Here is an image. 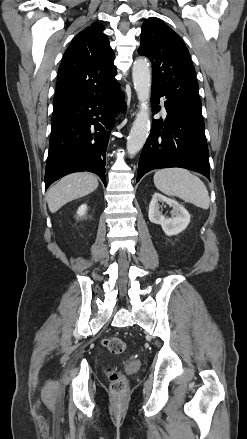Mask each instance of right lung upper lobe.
Wrapping results in <instances>:
<instances>
[{
    "label": "right lung upper lobe",
    "mask_w": 247,
    "mask_h": 439,
    "mask_svg": "<svg viewBox=\"0 0 247 439\" xmlns=\"http://www.w3.org/2000/svg\"><path fill=\"white\" fill-rule=\"evenodd\" d=\"M103 30L102 25L93 23L67 48L59 66L53 112L77 100L102 94L117 83L115 54Z\"/></svg>",
    "instance_id": "right-lung-upper-lobe-1"
}]
</instances>
